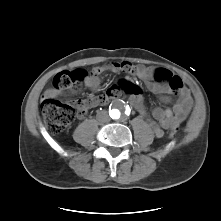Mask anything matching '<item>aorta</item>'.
I'll use <instances>...</instances> for the list:
<instances>
[{
    "instance_id": "1",
    "label": "aorta",
    "mask_w": 221,
    "mask_h": 221,
    "mask_svg": "<svg viewBox=\"0 0 221 221\" xmlns=\"http://www.w3.org/2000/svg\"><path fill=\"white\" fill-rule=\"evenodd\" d=\"M121 115V111L119 109H112V117L114 119H118Z\"/></svg>"
}]
</instances>
